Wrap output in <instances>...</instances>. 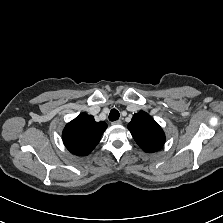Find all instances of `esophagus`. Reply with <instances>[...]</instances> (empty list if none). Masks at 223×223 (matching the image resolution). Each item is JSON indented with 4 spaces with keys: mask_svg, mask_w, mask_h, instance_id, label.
<instances>
[{
    "mask_svg": "<svg viewBox=\"0 0 223 223\" xmlns=\"http://www.w3.org/2000/svg\"><path fill=\"white\" fill-rule=\"evenodd\" d=\"M121 123H122L121 120H116L111 122L112 125H120Z\"/></svg>",
    "mask_w": 223,
    "mask_h": 223,
    "instance_id": "1",
    "label": "esophagus"
}]
</instances>
